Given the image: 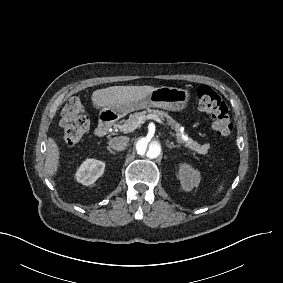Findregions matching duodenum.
<instances>
[{
	"label": "duodenum",
	"instance_id": "410a0bca",
	"mask_svg": "<svg viewBox=\"0 0 283 283\" xmlns=\"http://www.w3.org/2000/svg\"><path fill=\"white\" fill-rule=\"evenodd\" d=\"M114 122V116L110 113L108 114H104L101 117V120L95 130V134L98 137H104L107 135V133L109 132L111 126L113 125Z\"/></svg>",
	"mask_w": 283,
	"mask_h": 283
}]
</instances>
